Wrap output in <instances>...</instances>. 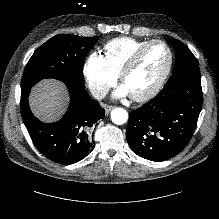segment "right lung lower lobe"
Segmentation results:
<instances>
[{"mask_svg": "<svg viewBox=\"0 0 219 219\" xmlns=\"http://www.w3.org/2000/svg\"><path fill=\"white\" fill-rule=\"evenodd\" d=\"M70 104L66 114L55 123H42L30 111L29 92L21 93L23 121L36 148L48 159L72 164L85 158L94 148L89 130L104 118V109L85 92L84 86L66 84Z\"/></svg>", "mask_w": 219, "mask_h": 219, "instance_id": "obj_1", "label": "right lung lower lobe"}]
</instances>
